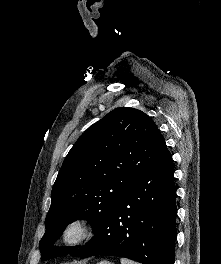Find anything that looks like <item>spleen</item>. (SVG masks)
Wrapping results in <instances>:
<instances>
[{"label":"spleen","instance_id":"spleen-1","mask_svg":"<svg viewBox=\"0 0 221 264\" xmlns=\"http://www.w3.org/2000/svg\"><path fill=\"white\" fill-rule=\"evenodd\" d=\"M120 261H121V264H139V263L133 262V261L125 259V258H121Z\"/></svg>","mask_w":221,"mask_h":264}]
</instances>
